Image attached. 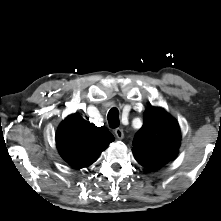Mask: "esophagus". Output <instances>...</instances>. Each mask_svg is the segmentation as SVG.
Here are the masks:
<instances>
[{"instance_id":"esophagus-1","label":"esophagus","mask_w":221,"mask_h":221,"mask_svg":"<svg viewBox=\"0 0 221 221\" xmlns=\"http://www.w3.org/2000/svg\"><path fill=\"white\" fill-rule=\"evenodd\" d=\"M114 132H115V135L118 139H123L124 132L121 128H116Z\"/></svg>"}]
</instances>
